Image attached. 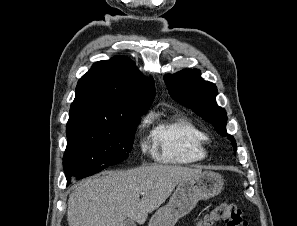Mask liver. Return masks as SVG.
<instances>
[{"instance_id":"obj_1","label":"liver","mask_w":297,"mask_h":226,"mask_svg":"<svg viewBox=\"0 0 297 226\" xmlns=\"http://www.w3.org/2000/svg\"><path fill=\"white\" fill-rule=\"evenodd\" d=\"M202 171L176 165H151L123 171H105L85 179L70 194L69 226H123L125 220L144 224L148 213L160 207L181 181ZM143 197L139 200V195Z\"/></svg>"}]
</instances>
